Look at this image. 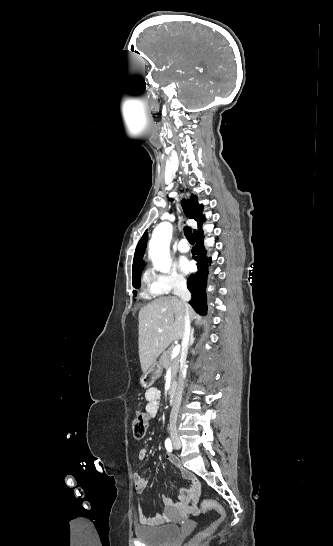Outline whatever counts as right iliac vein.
Segmentation results:
<instances>
[{
	"instance_id": "63e3f726",
	"label": "right iliac vein",
	"mask_w": 333,
	"mask_h": 546,
	"mask_svg": "<svg viewBox=\"0 0 333 546\" xmlns=\"http://www.w3.org/2000/svg\"><path fill=\"white\" fill-rule=\"evenodd\" d=\"M172 442H173V445H174L176 448H179V449L181 448V442H180V440H179V438H178L177 435H175V434L172 435Z\"/></svg>"
}]
</instances>
